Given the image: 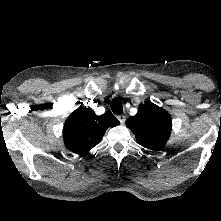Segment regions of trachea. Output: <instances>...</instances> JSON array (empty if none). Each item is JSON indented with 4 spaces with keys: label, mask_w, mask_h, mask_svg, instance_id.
Returning a JSON list of instances; mask_svg holds the SVG:
<instances>
[{
    "label": "trachea",
    "mask_w": 221,
    "mask_h": 221,
    "mask_svg": "<svg viewBox=\"0 0 221 221\" xmlns=\"http://www.w3.org/2000/svg\"><path fill=\"white\" fill-rule=\"evenodd\" d=\"M111 109L115 114H121L123 112V106L121 102L117 99L111 101Z\"/></svg>",
    "instance_id": "obj_1"
}]
</instances>
